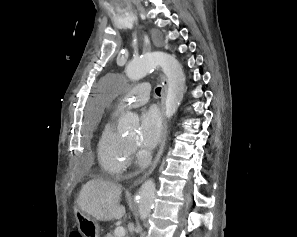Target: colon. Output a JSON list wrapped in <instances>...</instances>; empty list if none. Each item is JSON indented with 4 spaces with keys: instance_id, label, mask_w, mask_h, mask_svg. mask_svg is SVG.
<instances>
[{
    "instance_id": "1",
    "label": "colon",
    "mask_w": 297,
    "mask_h": 237,
    "mask_svg": "<svg viewBox=\"0 0 297 237\" xmlns=\"http://www.w3.org/2000/svg\"><path fill=\"white\" fill-rule=\"evenodd\" d=\"M70 237H81L79 233L73 232Z\"/></svg>"
}]
</instances>
